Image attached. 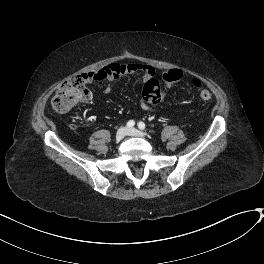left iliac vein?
<instances>
[{
	"mask_svg": "<svg viewBox=\"0 0 264 264\" xmlns=\"http://www.w3.org/2000/svg\"><path fill=\"white\" fill-rule=\"evenodd\" d=\"M128 135L130 136H138V137H145V133L136 129V128H131L128 130Z\"/></svg>",
	"mask_w": 264,
	"mask_h": 264,
	"instance_id": "1",
	"label": "left iliac vein"
}]
</instances>
